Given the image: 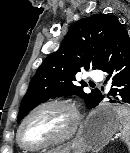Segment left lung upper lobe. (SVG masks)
Listing matches in <instances>:
<instances>
[{
  "instance_id": "left-lung-upper-lobe-1",
  "label": "left lung upper lobe",
  "mask_w": 130,
  "mask_h": 153,
  "mask_svg": "<svg viewBox=\"0 0 130 153\" xmlns=\"http://www.w3.org/2000/svg\"><path fill=\"white\" fill-rule=\"evenodd\" d=\"M125 30L116 17L95 14L76 21L60 48L50 54L37 69L22 99L17 121L40 103L54 97L79 95L92 106L101 92H83L84 81L78 85L81 70L101 69L118 34Z\"/></svg>"
}]
</instances>
